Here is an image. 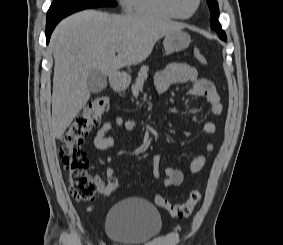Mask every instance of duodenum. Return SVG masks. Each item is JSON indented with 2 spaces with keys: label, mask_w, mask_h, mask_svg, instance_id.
<instances>
[{
  "label": "duodenum",
  "mask_w": 283,
  "mask_h": 245,
  "mask_svg": "<svg viewBox=\"0 0 283 245\" xmlns=\"http://www.w3.org/2000/svg\"><path fill=\"white\" fill-rule=\"evenodd\" d=\"M113 88L116 91H122L126 87V77L123 74H116L112 81Z\"/></svg>",
  "instance_id": "1"
}]
</instances>
